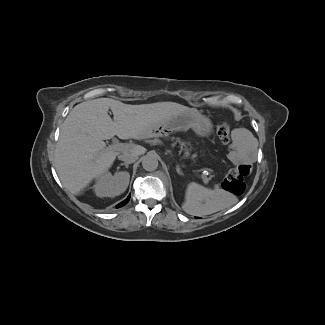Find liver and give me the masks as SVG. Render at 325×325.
I'll return each instance as SVG.
<instances>
[{
	"label": "liver",
	"mask_w": 325,
	"mask_h": 325,
	"mask_svg": "<svg viewBox=\"0 0 325 325\" xmlns=\"http://www.w3.org/2000/svg\"><path fill=\"white\" fill-rule=\"evenodd\" d=\"M186 112L198 111L175 102L130 105L111 98L76 105L63 122L53 160L63 186L78 195L112 166L119 152L106 148L103 140L115 135L120 139L147 138L152 127ZM144 151L140 146L131 149L137 154Z\"/></svg>",
	"instance_id": "obj_1"
}]
</instances>
